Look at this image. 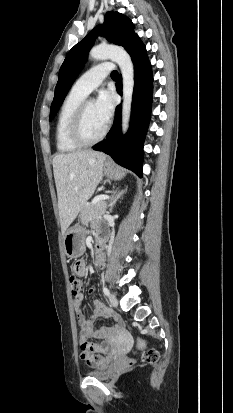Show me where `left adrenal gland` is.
I'll return each mask as SVG.
<instances>
[{"instance_id": "left-adrenal-gland-1", "label": "left adrenal gland", "mask_w": 233, "mask_h": 413, "mask_svg": "<svg viewBox=\"0 0 233 413\" xmlns=\"http://www.w3.org/2000/svg\"><path fill=\"white\" fill-rule=\"evenodd\" d=\"M126 192V190H119V188H116L115 190H114V192H113V194H112V196H111V198H110V200H109V207H110V209H109V211L110 212H112L113 211V208H114V205H115V203L117 202V200L119 199V198H121L122 196H123V194Z\"/></svg>"}]
</instances>
